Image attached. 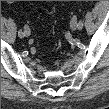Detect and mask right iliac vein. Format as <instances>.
I'll return each instance as SVG.
<instances>
[{
    "instance_id": "obj_1",
    "label": "right iliac vein",
    "mask_w": 109,
    "mask_h": 109,
    "mask_svg": "<svg viewBox=\"0 0 109 109\" xmlns=\"http://www.w3.org/2000/svg\"><path fill=\"white\" fill-rule=\"evenodd\" d=\"M24 27H25L24 32H23L24 33V36L28 37L30 35V29L26 25Z\"/></svg>"
}]
</instances>
